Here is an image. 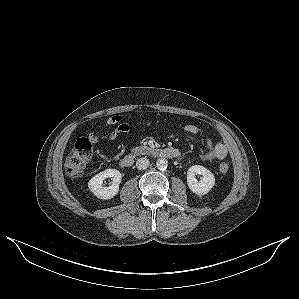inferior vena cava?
Here are the masks:
<instances>
[{
  "label": "inferior vena cava",
  "instance_id": "1",
  "mask_svg": "<svg viewBox=\"0 0 299 299\" xmlns=\"http://www.w3.org/2000/svg\"><path fill=\"white\" fill-rule=\"evenodd\" d=\"M149 164H150L149 159H147L146 157H143V158H140L137 160L136 167L139 170H144V169L148 168Z\"/></svg>",
  "mask_w": 299,
  "mask_h": 299
}]
</instances>
